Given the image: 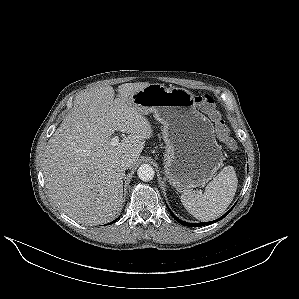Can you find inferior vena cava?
<instances>
[{
    "label": "inferior vena cava",
    "mask_w": 299,
    "mask_h": 299,
    "mask_svg": "<svg viewBox=\"0 0 299 299\" xmlns=\"http://www.w3.org/2000/svg\"><path fill=\"white\" fill-rule=\"evenodd\" d=\"M133 163L132 158L125 156L120 160V165L123 169H128Z\"/></svg>",
    "instance_id": "1"
}]
</instances>
